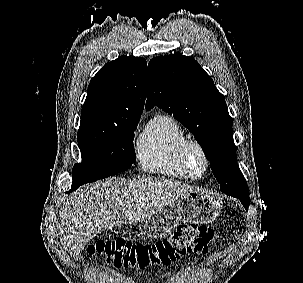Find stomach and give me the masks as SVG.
Masks as SVG:
<instances>
[{"mask_svg":"<svg viewBox=\"0 0 303 283\" xmlns=\"http://www.w3.org/2000/svg\"><path fill=\"white\" fill-rule=\"evenodd\" d=\"M221 206L214 196L190 192L175 198L151 216L141 220L139 229L148 238H159L173 230L179 222L208 224L216 219Z\"/></svg>","mask_w":303,"mask_h":283,"instance_id":"stomach-1","label":"stomach"}]
</instances>
